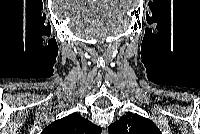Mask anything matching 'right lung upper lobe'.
Instances as JSON below:
<instances>
[{
    "label": "right lung upper lobe",
    "mask_w": 200,
    "mask_h": 134,
    "mask_svg": "<svg viewBox=\"0 0 200 134\" xmlns=\"http://www.w3.org/2000/svg\"><path fill=\"white\" fill-rule=\"evenodd\" d=\"M43 134H100L101 128L79 114H70L48 125Z\"/></svg>",
    "instance_id": "cb5924a9"
}]
</instances>
